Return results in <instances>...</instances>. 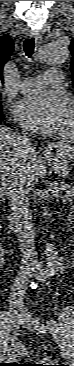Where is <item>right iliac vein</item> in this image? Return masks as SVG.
<instances>
[{
  "label": "right iliac vein",
  "mask_w": 74,
  "mask_h": 366,
  "mask_svg": "<svg viewBox=\"0 0 74 366\" xmlns=\"http://www.w3.org/2000/svg\"><path fill=\"white\" fill-rule=\"evenodd\" d=\"M22 322H23V314L18 309L12 311V323L16 331L18 330Z\"/></svg>",
  "instance_id": "obj_1"
}]
</instances>
